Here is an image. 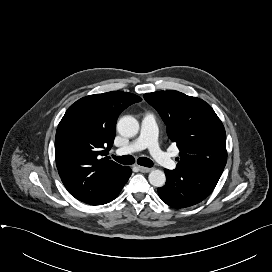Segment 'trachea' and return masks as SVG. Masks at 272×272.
<instances>
[{
	"mask_svg": "<svg viewBox=\"0 0 272 272\" xmlns=\"http://www.w3.org/2000/svg\"><path fill=\"white\" fill-rule=\"evenodd\" d=\"M112 158L118 163L124 164V165H131L135 162L134 157L131 155H125V156L112 155ZM137 163L145 167H151L153 165V162L149 158H146V157L138 158Z\"/></svg>",
	"mask_w": 272,
	"mask_h": 272,
	"instance_id": "3493384b",
	"label": "trachea"
}]
</instances>
